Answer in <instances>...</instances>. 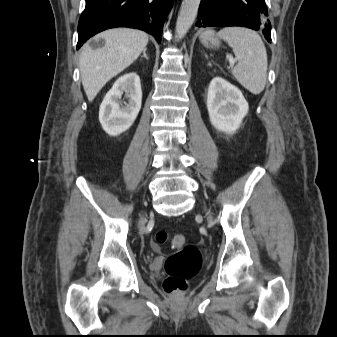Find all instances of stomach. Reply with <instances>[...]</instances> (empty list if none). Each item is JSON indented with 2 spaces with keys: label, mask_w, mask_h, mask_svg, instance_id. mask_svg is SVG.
I'll use <instances>...</instances> for the list:
<instances>
[{
  "label": "stomach",
  "mask_w": 337,
  "mask_h": 337,
  "mask_svg": "<svg viewBox=\"0 0 337 337\" xmlns=\"http://www.w3.org/2000/svg\"><path fill=\"white\" fill-rule=\"evenodd\" d=\"M199 38L206 48L215 49L220 46V40L215 36V33L212 30L202 32Z\"/></svg>",
  "instance_id": "1"
}]
</instances>
